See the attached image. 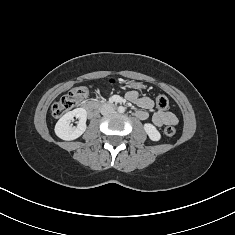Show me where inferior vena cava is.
Returning <instances> with one entry per match:
<instances>
[{"mask_svg":"<svg viewBox=\"0 0 235 235\" xmlns=\"http://www.w3.org/2000/svg\"><path fill=\"white\" fill-rule=\"evenodd\" d=\"M113 111H114V109H113L112 105H110V104H104L101 107V114L104 116L112 114Z\"/></svg>","mask_w":235,"mask_h":235,"instance_id":"602c4592","label":"inferior vena cava"}]
</instances>
